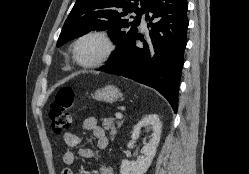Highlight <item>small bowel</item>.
Listing matches in <instances>:
<instances>
[{
  "mask_svg": "<svg viewBox=\"0 0 249 174\" xmlns=\"http://www.w3.org/2000/svg\"><path fill=\"white\" fill-rule=\"evenodd\" d=\"M82 130L92 133L94 139L96 140L97 146L100 149H105L108 146L109 144L108 137L104 129L97 125V121L94 117H88L83 120ZM63 138H64L65 144L71 148H76L81 143V138L78 135L71 133V132L65 133ZM78 155L82 158H97L98 157V153L89 148H80L78 150ZM75 159H76V156L74 152L72 151H66L62 157L63 163L68 166L72 165ZM98 173L99 174H113V169L111 168L109 164L102 163L99 166ZM62 174H74V173L70 168L67 167L63 169Z\"/></svg>",
  "mask_w": 249,
  "mask_h": 174,
  "instance_id": "obj_1",
  "label": "small bowel"
}]
</instances>
